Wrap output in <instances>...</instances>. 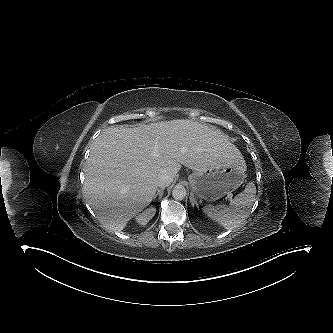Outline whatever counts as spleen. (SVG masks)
I'll list each match as a JSON object with an SVG mask.
<instances>
[{"label":"spleen","mask_w":333,"mask_h":333,"mask_svg":"<svg viewBox=\"0 0 333 333\" xmlns=\"http://www.w3.org/2000/svg\"><path fill=\"white\" fill-rule=\"evenodd\" d=\"M256 187L254 183H248L245 190L239 193L229 205L203 207V213L213 221L230 230L242 225L250 213L255 201Z\"/></svg>","instance_id":"3e777b00"}]
</instances>
